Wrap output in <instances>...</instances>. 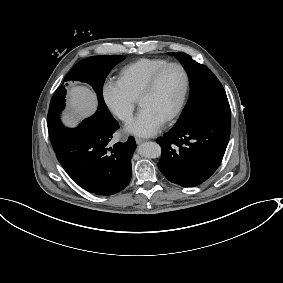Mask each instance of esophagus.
Instances as JSON below:
<instances>
[{
  "instance_id": "obj_1",
  "label": "esophagus",
  "mask_w": 283,
  "mask_h": 283,
  "mask_svg": "<svg viewBox=\"0 0 283 283\" xmlns=\"http://www.w3.org/2000/svg\"><path fill=\"white\" fill-rule=\"evenodd\" d=\"M135 141H136L137 144H140V143L146 142L147 140L143 139V138L136 137Z\"/></svg>"
}]
</instances>
